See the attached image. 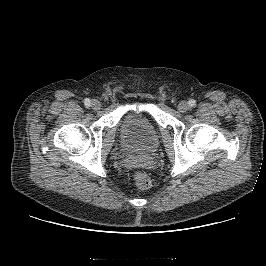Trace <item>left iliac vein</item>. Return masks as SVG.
Returning <instances> with one entry per match:
<instances>
[{
	"label": "left iliac vein",
	"instance_id": "left-iliac-vein-1",
	"mask_svg": "<svg viewBox=\"0 0 266 266\" xmlns=\"http://www.w3.org/2000/svg\"><path fill=\"white\" fill-rule=\"evenodd\" d=\"M178 110L180 112H186L190 109V105L188 104V102L186 101H181L179 104H178Z\"/></svg>",
	"mask_w": 266,
	"mask_h": 266
}]
</instances>
